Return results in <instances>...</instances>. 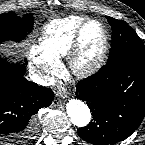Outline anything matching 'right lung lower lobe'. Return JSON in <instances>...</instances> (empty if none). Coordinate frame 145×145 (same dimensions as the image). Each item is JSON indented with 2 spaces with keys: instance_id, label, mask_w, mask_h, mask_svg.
Listing matches in <instances>:
<instances>
[{
  "instance_id": "98d812e1",
  "label": "right lung lower lobe",
  "mask_w": 145,
  "mask_h": 145,
  "mask_svg": "<svg viewBox=\"0 0 145 145\" xmlns=\"http://www.w3.org/2000/svg\"><path fill=\"white\" fill-rule=\"evenodd\" d=\"M0 58V142L4 145H29L37 133L36 113L49 106L51 89L24 78L25 65Z\"/></svg>"
}]
</instances>
